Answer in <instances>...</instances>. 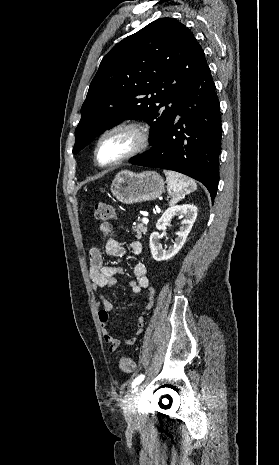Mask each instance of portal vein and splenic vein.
Here are the masks:
<instances>
[{
  "mask_svg": "<svg viewBox=\"0 0 279 465\" xmlns=\"http://www.w3.org/2000/svg\"><path fill=\"white\" fill-rule=\"evenodd\" d=\"M142 222H143L144 224H148V222H149V219H148V218H146V217H144V218L142 219Z\"/></svg>",
  "mask_w": 279,
  "mask_h": 465,
  "instance_id": "obj_1",
  "label": "portal vein and splenic vein"
}]
</instances>
